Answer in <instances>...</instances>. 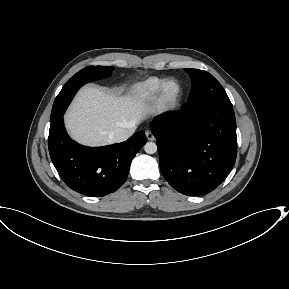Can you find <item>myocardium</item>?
<instances>
[{
    "label": "myocardium",
    "mask_w": 289,
    "mask_h": 289,
    "mask_svg": "<svg viewBox=\"0 0 289 289\" xmlns=\"http://www.w3.org/2000/svg\"><path fill=\"white\" fill-rule=\"evenodd\" d=\"M174 83L176 85V91L173 94H168L167 88L170 84ZM182 94V86L177 79L169 78L164 80L158 91V99L164 104H173L178 101Z\"/></svg>",
    "instance_id": "1"
}]
</instances>
